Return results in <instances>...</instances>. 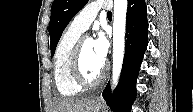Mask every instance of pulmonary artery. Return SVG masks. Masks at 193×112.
Here are the masks:
<instances>
[{
    "label": "pulmonary artery",
    "instance_id": "pulmonary-artery-1",
    "mask_svg": "<svg viewBox=\"0 0 193 112\" xmlns=\"http://www.w3.org/2000/svg\"><path fill=\"white\" fill-rule=\"evenodd\" d=\"M112 4L109 1L98 0L89 3L70 22V27L79 32L86 31L95 20L100 9L110 10Z\"/></svg>",
    "mask_w": 193,
    "mask_h": 112
}]
</instances>
